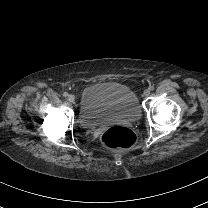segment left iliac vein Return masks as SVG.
Here are the masks:
<instances>
[{"instance_id": "4c4485c4", "label": "left iliac vein", "mask_w": 208, "mask_h": 208, "mask_svg": "<svg viewBox=\"0 0 208 208\" xmlns=\"http://www.w3.org/2000/svg\"><path fill=\"white\" fill-rule=\"evenodd\" d=\"M144 95L149 96L150 95V90L149 89L144 90Z\"/></svg>"}]
</instances>
